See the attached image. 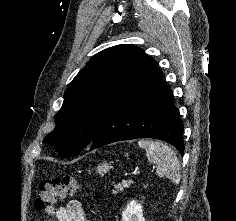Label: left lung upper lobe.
I'll return each instance as SVG.
<instances>
[{"mask_svg": "<svg viewBox=\"0 0 236 221\" xmlns=\"http://www.w3.org/2000/svg\"><path fill=\"white\" fill-rule=\"evenodd\" d=\"M156 61L133 45H117L91 58L70 82L45 138L62 156L90 145L110 113L156 68Z\"/></svg>", "mask_w": 236, "mask_h": 221, "instance_id": "1", "label": "left lung upper lobe"}]
</instances>
